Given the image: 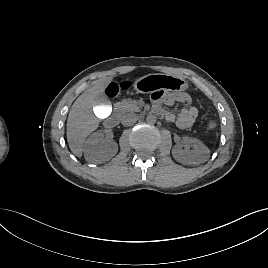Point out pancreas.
<instances>
[{"label":"pancreas","mask_w":268,"mask_h":268,"mask_svg":"<svg viewBox=\"0 0 268 268\" xmlns=\"http://www.w3.org/2000/svg\"><path fill=\"white\" fill-rule=\"evenodd\" d=\"M144 106L143 102H139L136 100H123L121 102H118L115 104V108L119 111V112H130V111H139L140 108H142Z\"/></svg>","instance_id":"cf45deb5"}]
</instances>
